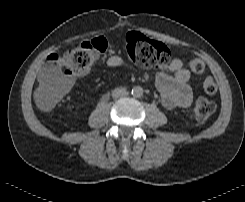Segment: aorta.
I'll return each mask as SVG.
<instances>
[{
    "mask_svg": "<svg viewBox=\"0 0 245 202\" xmlns=\"http://www.w3.org/2000/svg\"><path fill=\"white\" fill-rule=\"evenodd\" d=\"M131 94L133 97L139 98L143 96V88L140 86H135L132 88Z\"/></svg>",
    "mask_w": 245,
    "mask_h": 202,
    "instance_id": "762f6f07",
    "label": "aorta"
}]
</instances>
